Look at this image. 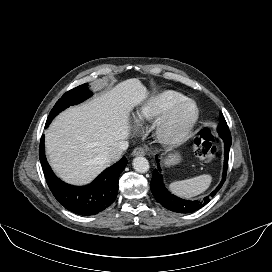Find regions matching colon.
Wrapping results in <instances>:
<instances>
[{
    "instance_id": "colon-1",
    "label": "colon",
    "mask_w": 272,
    "mask_h": 272,
    "mask_svg": "<svg viewBox=\"0 0 272 272\" xmlns=\"http://www.w3.org/2000/svg\"><path fill=\"white\" fill-rule=\"evenodd\" d=\"M213 133L210 127L201 128L194 140L196 155L204 160L211 161L216 155V148L212 145Z\"/></svg>"
}]
</instances>
